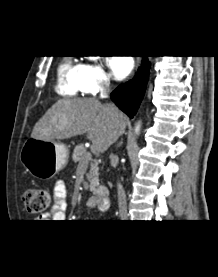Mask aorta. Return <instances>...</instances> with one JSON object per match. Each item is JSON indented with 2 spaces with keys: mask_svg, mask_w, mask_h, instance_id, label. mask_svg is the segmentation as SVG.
Masks as SVG:
<instances>
[{
  "mask_svg": "<svg viewBox=\"0 0 218 277\" xmlns=\"http://www.w3.org/2000/svg\"><path fill=\"white\" fill-rule=\"evenodd\" d=\"M139 126L136 128V131H138Z\"/></svg>",
  "mask_w": 218,
  "mask_h": 277,
  "instance_id": "obj_1",
  "label": "aorta"
}]
</instances>
